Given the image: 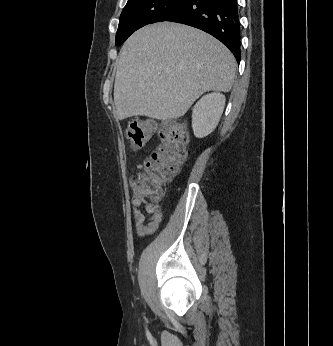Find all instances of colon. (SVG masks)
<instances>
[{
    "label": "colon",
    "instance_id": "obj_1",
    "mask_svg": "<svg viewBox=\"0 0 333 346\" xmlns=\"http://www.w3.org/2000/svg\"><path fill=\"white\" fill-rule=\"evenodd\" d=\"M156 125L150 120H134L127 128V137L133 149L145 147L155 131ZM186 136L179 124L168 122L160 132V144L145 161L138 181L141 197L156 204L162 197V186L173 177L186 158Z\"/></svg>",
    "mask_w": 333,
    "mask_h": 346
}]
</instances>
